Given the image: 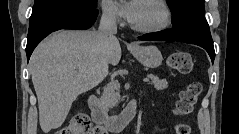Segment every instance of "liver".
<instances>
[{
	"label": "liver",
	"instance_id": "liver-1",
	"mask_svg": "<svg viewBox=\"0 0 239 134\" xmlns=\"http://www.w3.org/2000/svg\"><path fill=\"white\" fill-rule=\"evenodd\" d=\"M120 59L119 41L107 42L95 30H64L43 40L29 61L42 131L59 128L77 96L103 80L100 65Z\"/></svg>",
	"mask_w": 239,
	"mask_h": 134
}]
</instances>
